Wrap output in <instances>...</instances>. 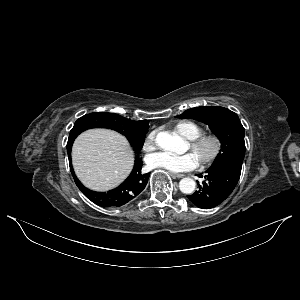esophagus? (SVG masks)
I'll return each mask as SVG.
<instances>
[{
	"instance_id": "obj_1",
	"label": "esophagus",
	"mask_w": 300,
	"mask_h": 300,
	"mask_svg": "<svg viewBox=\"0 0 300 300\" xmlns=\"http://www.w3.org/2000/svg\"><path fill=\"white\" fill-rule=\"evenodd\" d=\"M172 176L176 177V178H183L185 175L184 174H180V173H173Z\"/></svg>"
}]
</instances>
